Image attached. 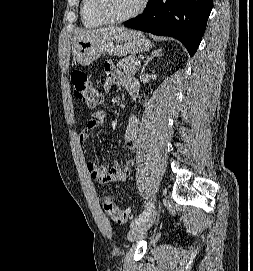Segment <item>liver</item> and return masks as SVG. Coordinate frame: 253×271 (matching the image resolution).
I'll return each mask as SVG.
<instances>
[{
    "instance_id": "6515ba94",
    "label": "liver",
    "mask_w": 253,
    "mask_h": 271,
    "mask_svg": "<svg viewBox=\"0 0 253 271\" xmlns=\"http://www.w3.org/2000/svg\"><path fill=\"white\" fill-rule=\"evenodd\" d=\"M116 29H122L119 27H111V28H102V29H97V30H90V31H82L74 36V42L82 39L83 37H86L87 35L95 32H101V31H109V30H116Z\"/></svg>"
}]
</instances>
